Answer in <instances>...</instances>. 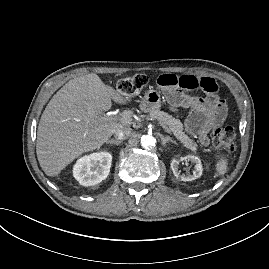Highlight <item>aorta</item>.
Instances as JSON below:
<instances>
[{
    "mask_svg": "<svg viewBox=\"0 0 269 269\" xmlns=\"http://www.w3.org/2000/svg\"><path fill=\"white\" fill-rule=\"evenodd\" d=\"M156 143V139L153 135L146 134L141 137V146L143 148H151L154 147Z\"/></svg>",
    "mask_w": 269,
    "mask_h": 269,
    "instance_id": "aorta-1",
    "label": "aorta"
}]
</instances>
